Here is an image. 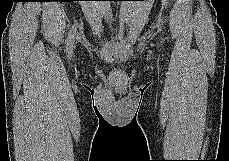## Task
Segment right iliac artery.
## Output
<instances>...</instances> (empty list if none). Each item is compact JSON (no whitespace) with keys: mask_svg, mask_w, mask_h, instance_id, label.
I'll use <instances>...</instances> for the list:
<instances>
[{"mask_svg":"<svg viewBox=\"0 0 229 161\" xmlns=\"http://www.w3.org/2000/svg\"><path fill=\"white\" fill-rule=\"evenodd\" d=\"M76 29H77V23H75L71 30H70V33L68 35V39H67V52L68 54L70 55L71 54V51H72V47H73V43H74V37H75V34H76Z\"/></svg>","mask_w":229,"mask_h":161,"instance_id":"82829eb1","label":"right iliac artery"}]
</instances>
